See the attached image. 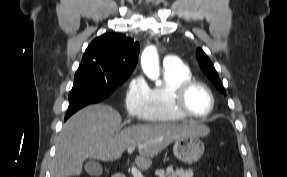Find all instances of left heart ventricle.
Returning <instances> with one entry per match:
<instances>
[{
    "mask_svg": "<svg viewBox=\"0 0 287 177\" xmlns=\"http://www.w3.org/2000/svg\"><path fill=\"white\" fill-rule=\"evenodd\" d=\"M186 106L193 114L202 116L209 111L211 100L203 88L194 87L187 95Z\"/></svg>",
    "mask_w": 287,
    "mask_h": 177,
    "instance_id": "obj_1",
    "label": "left heart ventricle"
}]
</instances>
